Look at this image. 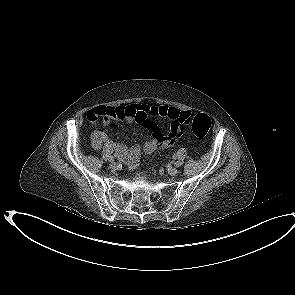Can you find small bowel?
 Returning <instances> with one entry per match:
<instances>
[{
    "mask_svg": "<svg viewBox=\"0 0 295 295\" xmlns=\"http://www.w3.org/2000/svg\"><path fill=\"white\" fill-rule=\"evenodd\" d=\"M190 113L169 106L152 107L146 104L133 103L117 107L93 108L87 112V118L91 123H95L98 119L104 120L105 125H110L116 120L138 122L149 130L152 135L151 139L157 142V148H167L174 145L180 136L179 116ZM160 120H168L169 122V130L165 134L161 130ZM103 143L108 148L113 149L122 161L130 165H134L138 160L140 155L138 146L129 147L113 142L102 129H98L93 136L92 146L94 149H100Z\"/></svg>",
    "mask_w": 295,
    "mask_h": 295,
    "instance_id": "obj_1",
    "label": "small bowel"
}]
</instances>
